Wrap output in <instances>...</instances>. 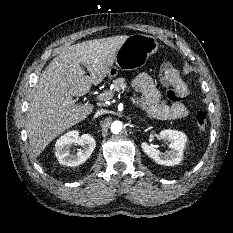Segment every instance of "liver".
<instances>
[{
    "label": "liver",
    "mask_w": 233,
    "mask_h": 233,
    "mask_svg": "<svg viewBox=\"0 0 233 233\" xmlns=\"http://www.w3.org/2000/svg\"><path fill=\"white\" fill-rule=\"evenodd\" d=\"M127 38L121 35L74 44L45 68L28 107L26 129L33 157L93 111V104L77 103L73 97L87 94L92 84L97 85L107 77L117 51Z\"/></svg>",
    "instance_id": "6515ba94"
}]
</instances>
